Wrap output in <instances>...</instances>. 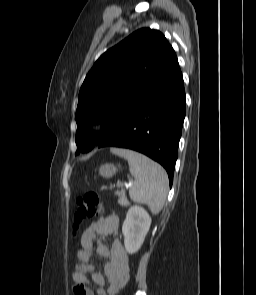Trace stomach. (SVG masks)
Instances as JSON below:
<instances>
[{
    "label": "stomach",
    "instance_id": "obj_1",
    "mask_svg": "<svg viewBox=\"0 0 256 295\" xmlns=\"http://www.w3.org/2000/svg\"><path fill=\"white\" fill-rule=\"evenodd\" d=\"M117 172L114 164H103L99 168V174L104 178H111Z\"/></svg>",
    "mask_w": 256,
    "mask_h": 295
}]
</instances>
